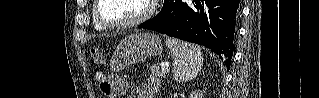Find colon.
<instances>
[{
	"mask_svg": "<svg viewBox=\"0 0 319 98\" xmlns=\"http://www.w3.org/2000/svg\"><path fill=\"white\" fill-rule=\"evenodd\" d=\"M90 56L96 62L100 63L102 61V54L100 50L96 47L90 49ZM103 75L101 73H97L96 80L99 83H102Z\"/></svg>",
	"mask_w": 319,
	"mask_h": 98,
	"instance_id": "colon-1",
	"label": "colon"
}]
</instances>
